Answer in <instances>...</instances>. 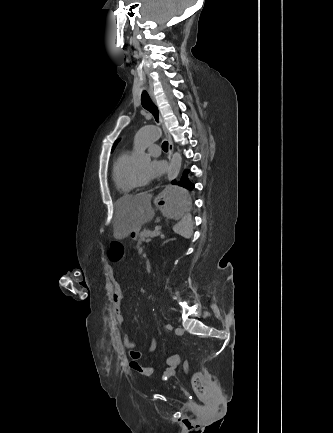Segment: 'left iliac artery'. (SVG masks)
Here are the masks:
<instances>
[{
  "label": "left iliac artery",
  "mask_w": 333,
  "mask_h": 433,
  "mask_svg": "<svg viewBox=\"0 0 333 433\" xmlns=\"http://www.w3.org/2000/svg\"><path fill=\"white\" fill-rule=\"evenodd\" d=\"M166 329L171 331V330L173 329V327H172V325L167 324V325H166Z\"/></svg>",
  "instance_id": "44dca946"
}]
</instances>
